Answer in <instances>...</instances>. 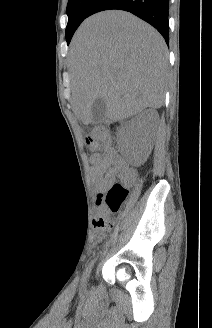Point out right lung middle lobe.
<instances>
[{
    "label": "right lung middle lobe",
    "instance_id": "right-lung-middle-lobe-1",
    "mask_svg": "<svg viewBox=\"0 0 212 328\" xmlns=\"http://www.w3.org/2000/svg\"><path fill=\"white\" fill-rule=\"evenodd\" d=\"M96 0H69L67 5L68 24L66 40L69 44L81 22L88 17V12Z\"/></svg>",
    "mask_w": 212,
    "mask_h": 328
}]
</instances>
